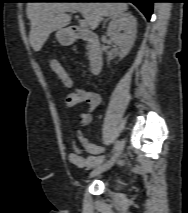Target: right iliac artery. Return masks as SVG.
<instances>
[{
	"mask_svg": "<svg viewBox=\"0 0 188 213\" xmlns=\"http://www.w3.org/2000/svg\"><path fill=\"white\" fill-rule=\"evenodd\" d=\"M119 142H120V141H116V142H115V145H114V148H113V151H112V152H114V151L116 150V148H117ZM102 162H103V160L97 161V162H96V166H99Z\"/></svg>",
	"mask_w": 188,
	"mask_h": 213,
	"instance_id": "1",
	"label": "right iliac artery"
}]
</instances>
